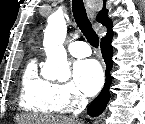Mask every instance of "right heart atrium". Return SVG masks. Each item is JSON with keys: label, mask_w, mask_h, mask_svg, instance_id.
<instances>
[{"label": "right heart atrium", "mask_w": 145, "mask_h": 124, "mask_svg": "<svg viewBox=\"0 0 145 124\" xmlns=\"http://www.w3.org/2000/svg\"><path fill=\"white\" fill-rule=\"evenodd\" d=\"M54 101L62 112H71L82 106L86 99L71 82L54 84Z\"/></svg>", "instance_id": "d8ad5b80"}]
</instances>
